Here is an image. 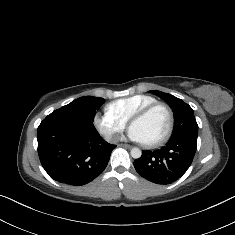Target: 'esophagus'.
<instances>
[{
    "mask_svg": "<svg viewBox=\"0 0 235 235\" xmlns=\"http://www.w3.org/2000/svg\"><path fill=\"white\" fill-rule=\"evenodd\" d=\"M119 147H123V148H127V149H130L132 146L129 145V144H124V143H120L118 144Z\"/></svg>",
    "mask_w": 235,
    "mask_h": 235,
    "instance_id": "1",
    "label": "esophagus"
}]
</instances>
